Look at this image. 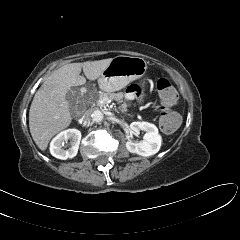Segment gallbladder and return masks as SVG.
Here are the masks:
<instances>
[{
	"label": "gallbladder",
	"instance_id": "obj_1",
	"mask_svg": "<svg viewBox=\"0 0 240 240\" xmlns=\"http://www.w3.org/2000/svg\"><path fill=\"white\" fill-rule=\"evenodd\" d=\"M68 100L71 101V96L70 95H68Z\"/></svg>",
	"mask_w": 240,
	"mask_h": 240
}]
</instances>
